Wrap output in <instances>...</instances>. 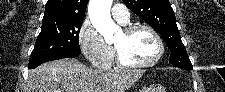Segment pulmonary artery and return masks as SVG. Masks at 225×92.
<instances>
[{
	"mask_svg": "<svg viewBox=\"0 0 225 92\" xmlns=\"http://www.w3.org/2000/svg\"><path fill=\"white\" fill-rule=\"evenodd\" d=\"M113 18L119 23L126 25L130 21L128 9L123 4H115L111 10Z\"/></svg>",
	"mask_w": 225,
	"mask_h": 92,
	"instance_id": "pulmonary-artery-1",
	"label": "pulmonary artery"
}]
</instances>
